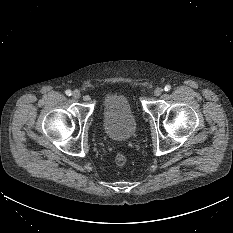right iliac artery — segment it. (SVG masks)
Masks as SVG:
<instances>
[{"label": "right iliac artery", "mask_w": 233, "mask_h": 233, "mask_svg": "<svg viewBox=\"0 0 233 233\" xmlns=\"http://www.w3.org/2000/svg\"><path fill=\"white\" fill-rule=\"evenodd\" d=\"M66 95H68V96H71L72 95V92H71V90H66Z\"/></svg>", "instance_id": "obj_1"}]
</instances>
